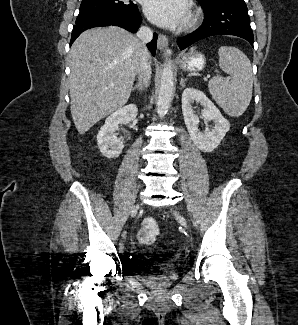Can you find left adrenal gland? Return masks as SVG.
Here are the masks:
<instances>
[{"label":"left adrenal gland","instance_id":"1","mask_svg":"<svg viewBox=\"0 0 298 325\" xmlns=\"http://www.w3.org/2000/svg\"><path fill=\"white\" fill-rule=\"evenodd\" d=\"M185 80H186V78H180V86H181V88H183V86H185Z\"/></svg>","mask_w":298,"mask_h":325}]
</instances>
